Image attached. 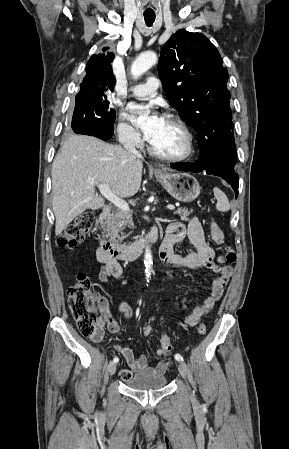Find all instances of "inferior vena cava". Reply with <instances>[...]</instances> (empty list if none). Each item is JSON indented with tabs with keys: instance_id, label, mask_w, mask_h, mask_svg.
<instances>
[{
	"instance_id": "obj_1",
	"label": "inferior vena cava",
	"mask_w": 289,
	"mask_h": 449,
	"mask_svg": "<svg viewBox=\"0 0 289 449\" xmlns=\"http://www.w3.org/2000/svg\"><path fill=\"white\" fill-rule=\"evenodd\" d=\"M124 148L126 149V151H128V153L130 155L137 157V158H142V155L140 154V152L136 150L135 144L133 141L124 142Z\"/></svg>"
}]
</instances>
